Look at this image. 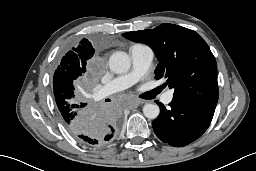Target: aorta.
Segmentation results:
<instances>
[{
    "mask_svg": "<svg viewBox=\"0 0 256 171\" xmlns=\"http://www.w3.org/2000/svg\"><path fill=\"white\" fill-rule=\"evenodd\" d=\"M131 67V60L126 52L117 51L109 58V68L117 74L127 72ZM144 116L148 119H156L160 113L159 106L156 104H145L143 107Z\"/></svg>",
    "mask_w": 256,
    "mask_h": 171,
    "instance_id": "obj_1",
    "label": "aorta"
}]
</instances>
